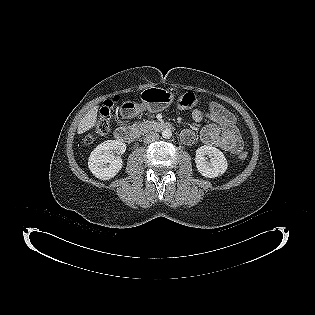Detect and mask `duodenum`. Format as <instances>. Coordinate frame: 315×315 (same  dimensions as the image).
Masks as SVG:
<instances>
[{
	"instance_id": "duodenum-1",
	"label": "duodenum",
	"mask_w": 315,
	"mask_h": 315,
	"mask_svg": "<svg viewBox=\"0 0 315 315\" xmlns=\"http://www.w3.org/2000/svg\"><path fill=\"white\" fill-rule=\"evenodd\" d=\"M146 128L149 130L161 131L166 129H171L172 124L164 121H153L149 122L146 125ZM115 138L120 142H133L136 140L138 136V132L136 129L128 127V126H121L116 129L115 131Z\"/></svg>"
}]
</instances>
